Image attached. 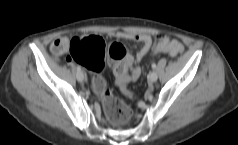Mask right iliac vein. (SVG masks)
Listing matches in <instances>:
<instances>
[{"label":"right iliac vein","instance_id":"obj_1","mask_svg":"<svg viewBox=\"0 0 238 145\" xmlns=\"http://www.w3.org/2000/svg\"><path fill=\"white\" fill-rule=\"evenodd\" d=\"M76 77L79 82H83L85 79V75L81 71L77 73Z\"/></svg>","mask_w":238,"mask_h":145}]
</instances>
